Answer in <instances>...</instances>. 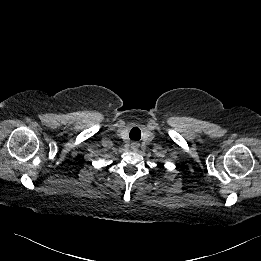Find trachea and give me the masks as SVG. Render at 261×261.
<instances>
[{
  "instance_id": "trachea-1",
  "label": "trachea",
  "mask_w": 261,
  "mask_h": 261,
  "mask_svg": "<svg viewBox=\"0 0 261 261\" xmlns=\"http://www.w3.org/2000/svg\"><path fill=\"white\" fill-rule=\"evenodd\" d=\"M131 140H139L141 138V131L139 128L134 127L129 134Z\"/></svg>"
}]
</instances>
